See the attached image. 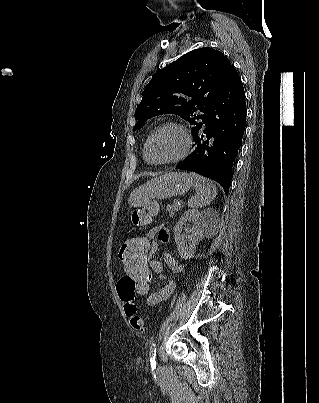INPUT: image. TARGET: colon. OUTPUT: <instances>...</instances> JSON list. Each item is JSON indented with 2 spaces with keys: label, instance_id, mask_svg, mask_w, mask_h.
I'll return each mask as SVG.
<instances>
[{
  "label": "colon",
  "instance_id": "1",
  "mask_svg": "<svg viewBox=\"0 0 319 403\" xmlns=\"http://www.w3.org/2000/svg\"><path fill=\"white\" fill-rule=\"evenodd\" d=\"M157 213L154 203H148L144 209L132 214V222L140 225L148 222ZM120 268L124 276L116 277V292L120 298V307L128 317L132 333H144L143 314L137 305L136 296H150L151 256L147 238H128L119 248ZM149 274V277H146ZM135 282V289L132 287ZM135 292V296L134 295Z\"/></svg>",
  "mask_w": 319,
  "mask_h": 403
}]
</instances>
